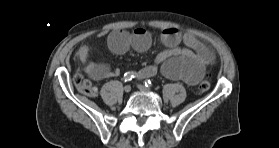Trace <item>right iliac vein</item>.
Masks as SVG:
<instances>
[{"mask_svg": "<svg viewBox=\"0 0 279 148\" xmlns=\"http://www.w3.org/2000/svg\"><path fill=\"white\" fill-rule=\"evenodd\" d=\"M124 91H125L126 93H129V92L131 91V86L126 85V86L124 87Z\"/></svg>", "mask_w": 279, "mask_h": 148, "instance_id": "obj_1", "label": "right iliac vein"}]
</instances>
